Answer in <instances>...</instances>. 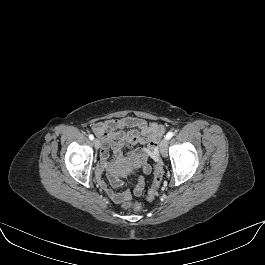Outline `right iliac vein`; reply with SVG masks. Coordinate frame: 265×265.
<instances>
[{
	"mask_svg": "<svg viewBox=\"0 0 265 265\" xmlns=\"http://www.w3.org/2000/svg\"><path fill=\"white\" fill-rule=\"evenodd\" d=\"M93 145L96 149H99L100 147V141L98 139H94L93 140Z\"/></svg>",
	"mask_w": 265,
	"mask_h": 265,
	"instance_id": "right-iliac-vein-1",
	"label": "right iliac vein"
}]
</instances>
